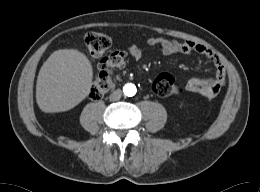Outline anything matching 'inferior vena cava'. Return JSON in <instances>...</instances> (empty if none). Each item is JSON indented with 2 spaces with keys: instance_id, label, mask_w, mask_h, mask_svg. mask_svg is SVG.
Listing matches in <instances>:
<instances>
[{
  "instance_id": "inferior-vena-cava-1",
  "label": "inferior vena cava",
  "mask_w": 260,
  "mask_h": 192,
  "mask_svg": "<svg viewBox=\"0 0 260 192\" xmlns=\"http://www.w3.org/2000/svg\"><path fill=\"white\" fill-rule=\"evenodd\" d=\"M122 92L121 90H115L113 93L110 94L109 99L110 101H117L121 98Z\"/></svg>"
}]
</instances>
